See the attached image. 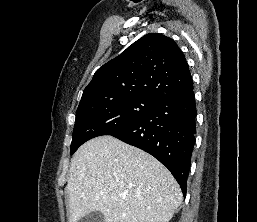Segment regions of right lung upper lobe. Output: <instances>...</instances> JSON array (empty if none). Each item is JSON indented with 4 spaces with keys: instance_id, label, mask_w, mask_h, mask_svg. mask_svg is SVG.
Segmentation results:
<instances>
[{
    "instance_id": "right-lung-upper-lobe-1",
    "label": "right lung upper lobe",
    "mask_w": 257,
    "mask_h": 222,
    "mask_svg": "<svg viewBox=\"0 0 257 222\" xmlns=\"http://www.w3.org/2000/svg\"><path fill=\"white\" fill-rule=\"evenodd\" d=\"M192 87L189 65L176 42L150 33L95 72L80 104L103 97L143 96L161 101Z\"/></svg>"
}]
</instances>
